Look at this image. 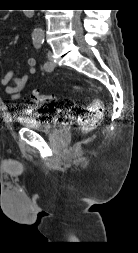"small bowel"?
<instances>
[{"label": "small bowel", "mask_w": 138, "mask_h": 253, "mask_svg": "<svg viewBox=\"0 0 138 253\" xmlns=\"http://www.w3.org/2000/svg\"><path fill=\"white\" fill-rule=\"evenodd\" d=\"M28 73L17 76L16 69L7 72L1 78V84L5 87V92L10 96L11 100H18L27 85L29 76L36 72V60L32 57L27 59Z\"/></svg>", "instance_id": "small-bowel-1"}]
</instances>
